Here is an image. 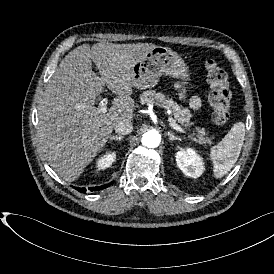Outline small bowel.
Segmentation results:
<instances>
[{
    "mask_svg": "<svg viewBox=\"0 0 274 274\" xmlns=\"http://www.w3.org/2000/svg\"><path fill=\"white\" fill-rule=\"evenodd\" d=\"M172 88H174L181 98L185 97L184 90L182 88V85L179 82H174L171 84ZM189 106L192 109H197L200 106V100L197 96H193L189 99Z\"/></svg>",
    "mask_w": 274,
    "mask_h": 274,
    "instance_id": "obj_1",
    "label": "small bowel"
}]
</instances>
